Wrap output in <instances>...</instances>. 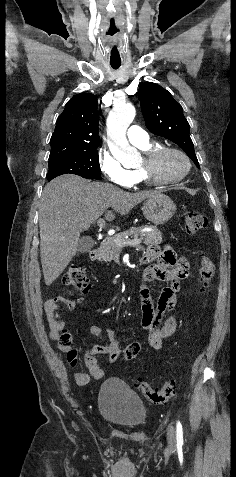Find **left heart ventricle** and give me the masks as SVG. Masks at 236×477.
<instances>
[{"label":"left heart ventricle","mask_w":236,"mask_h":477,"mask_svg":"<svg viewBox=\"0 0 236 477\" xmlns=\"http://www.w3.org/2000/svg\"><path fill=\"white\" fill-rule=\"evenodd\" d=\"M185 167V161L180 156L168 154L160 162L158 175L162 178H172L182 174Z\"/></svg>","instance_id":"left-heart-ventricle-1"}]
</instances>
